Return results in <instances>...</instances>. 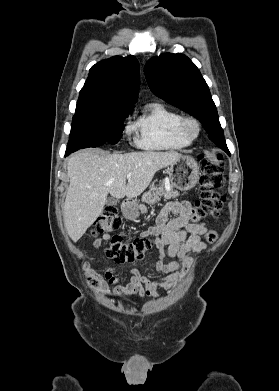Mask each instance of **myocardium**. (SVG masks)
<instances>
[{
	"mask_svg": "<svg viewBox=\"0 0 279 391\" xmlns=\"http://www.w3.org/2000/svg\"><path fill=\"white\" fill-rule=\"evenodd\" d=\"M200 123L192 116H181L177 126L178 135L187 141L192 143L198 137L200 133Z\"/></svg>",
	"mask_w": 279,
	"mask_h": 391,
	"instance_id": "obj_1",
	"label": "myocardium"
}]
</instances>
